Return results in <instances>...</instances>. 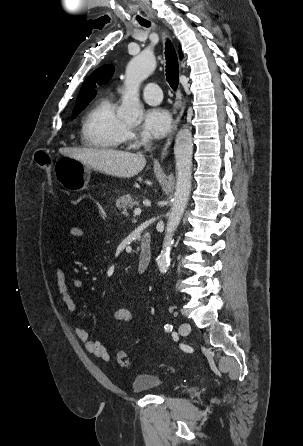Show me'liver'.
Here are the masks:
<instances>
[{"label":"liver","mask_w":303,"mask_h":446,"mask_svg":"<svg viewBox=\"0 0 303 446\" xmlns=\"http://www.w3.org/2000/svg\"><path fill=\"white\" fill-rule=\"evenodd\" d=\"M60 153L74 158L97 171L119 178L134 177L146 165V159L142 154L124 151L64 148L60 149Z\"/></svg>","instance_id":"6515ba94"}]
</instances>
